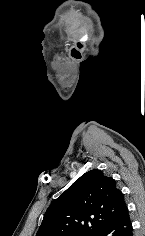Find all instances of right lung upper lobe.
<instances>
[{"label":"right lung upper lobe","mask_w":145,"mask_h":236,"mask_svg":"<svg viewBox=\"0 0 145 236\" xmlns=\"http://www.w3.org/2000/svg\"><path fill=\"white\" fill-rule=\"evenodd\" d=\"M125 208L114 179L94 169L49 206L36 236H94Z\"/></svg>","instance_id":"obj_1"}]
</instances>
